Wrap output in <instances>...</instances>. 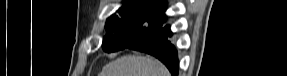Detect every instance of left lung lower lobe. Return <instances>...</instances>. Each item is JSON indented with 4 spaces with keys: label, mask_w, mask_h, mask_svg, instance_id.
<instances>
[{
    "label": "left lung lower lobe",
    "mask_w": 287,
    "mask_h": 76,
    "mask_svg": "<svg viewBox=\"0 0 287 76\" xmlns=\"http://www.w3.org/2000/svg\"><path fill=\"white\" fill-rule=\"evenodd\" d=\"M171 36L172 33L169 26L160 27L148 33L139 41L133 44H129L122 49L130 48L153 55L167 66L173 76H177V51L175 47L171 44V42L168 40V38Z\"/></svg>",
    "instance_id": "left-lung-lower-lobe-1"
}]
</instances>
